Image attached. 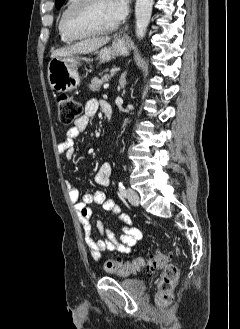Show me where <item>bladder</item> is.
<instances>
[{"instance_id":"1","label":"bladder","mask_w":240,"mask_h":329,"mask_svg":"<svg viewBox=\"0 0 240 329\" xmlns=\"http://www.w3.org/2000/svg\"><path fill=\"white\" fill-rule=\"evenodd\" d=\"M118 282L125 288L131 289L138 293H141L145 290V284L142 280L137 278L123 277L118 278Z\"/></svg>"}]
</instances>
